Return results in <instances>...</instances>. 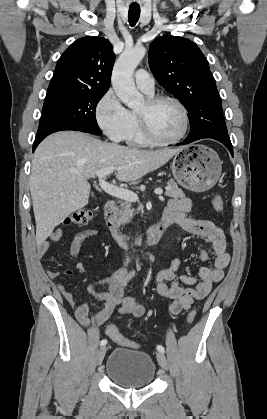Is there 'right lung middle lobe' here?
Wrapping results in <instances>:
<instances>
[{
  "mask_svg": "<svg viewBox=\"0 0 267 419\" xmlns=\"http://www.w3.org/2000/svg\"><path fill=\"white\" fill-rule=\"evenodd\" d=\"M106 92L58 91L47 93L43 115L66 121L77 127L101 134L95 116L96 106Z\"/></svg>",
  "mask_w": 267,
  "mask_h": 419,
  "instance_id": "right-lung-middle-lobe-1",
  "label": "right lung middle lobe"
}]
</instances>
